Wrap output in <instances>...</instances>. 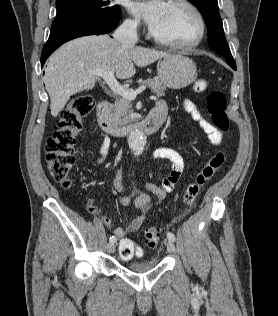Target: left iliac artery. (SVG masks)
Listing matches in <instances>:
<instances>
[{"label": "left iliac artery", "instance_id": "44dca946", "mask_svg": "<svg viewBox=\"0 0 278 316\" xmlns=\"http://www.w3.org/2000/svg\"><path fill=\"white\" fill-rule=\"evenodd\" d=\"M167 238L169 239V241L174 242L175 241V235L172 232H168L167 233Z\"/></svg>", "mask_w": 278, "mask_h": 316}]
</instances>
